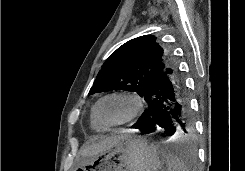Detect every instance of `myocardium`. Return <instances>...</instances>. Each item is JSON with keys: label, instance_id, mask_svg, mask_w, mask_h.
I'll use <instances>...</instances> for the list:
<instances>
[{"label": "myocardium", "instance_id": "obj_1", "mask_svg": "<svg viewBox=\"0 0 245 171\" xmlns=\"http://www.w3.org/2000/svg\"><path fill=\"white\" fill-rule=\"evenodd\" d=\"M113 97H118V98H123L128 100L131 103V110L129 112V114L122 120L118 121V122H114V123H107L105 121H103L98 114V108L99 105L106 99L108 98H113ZM144 107V103H143V99L142 97L133 91H127V90H121V91H114L111 93H108L104 96H102L94 105L93 108V115L95 117V119L104 127L106 128H110V127H118V126H122L125 124H128L130 122H132L133 120H135L142 112Z\"/></svg>", "mask_w": 245, "mask_h": 171}]
</instances>
